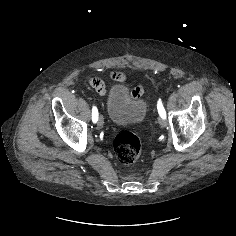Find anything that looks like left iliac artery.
I'll return each mask as SVG.
<instances>
[{"label":"left iliac artery","mask_w":236,"mask_h":236,"mask_svg":"<svg viewBox=\"0 0 236 236\" xmlns=\"http://www.w3.org/2000/svg\"><path fill=\"white\" fill-rule=\"evenodd\" d=\"M157 109H158L159 115L162 118L166 119V111H165V109L163 107V104H162L161 100H159L158 103H157Z\"/></svg>","instance_id":"1"}]
</instances>
